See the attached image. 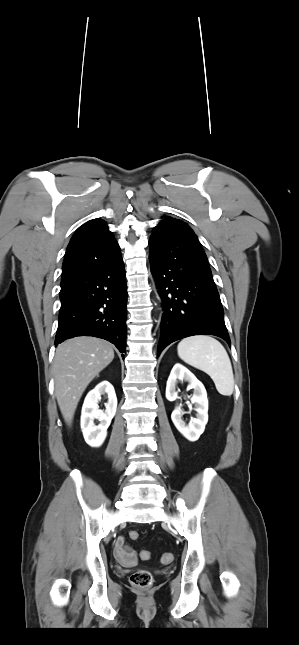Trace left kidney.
Instances as JSON below:
<instances>
[{
	"instance_id": "5707ae66",
	"label": "left kidney",
	"mask_w": 299,
	"mask_h": 645,
	"mask_svg": "<svg viewBox=\"0 0 299 645\" xmlns=\"http://www.w3.org/2000/svg\"><path fill=\"white\" fill-rule=\"evenodd\" d=\"M177 380L187 381L189 388L194 390L191 402L195 404L196 418L186 425L182 420V410L176 407L171 414V419L178 431L189 441H196L204 432L208 422V399L204 385L186 367L177 363L173 366L166 386V398L175 401L178 397L176 392Z\"/></svg>"
}]
</instances>
